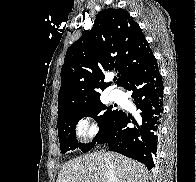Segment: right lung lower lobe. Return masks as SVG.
I'll return each mask as SVG.
<instances>
[{
    "label": "right lung lower lobe",
    "instance_id": "98d812e1",
    "mask_svg": "<svg viewBox=\"0 0 196 182\" xmlns=\"http://www.w3.org/2000/svg\"><path fill=\"white\" fill-rule=\"evenodd\" d=\"M163 82L155 57L135 75L125 89L132 91L140 118L119 111L95 143H107L111 151L143 163L148 170L155 165L159 129L163 114ZM133 125H128V124Z\"/></svg>",
    "mask_w": 196,
    "mask_h": 182
}]
</instances>
